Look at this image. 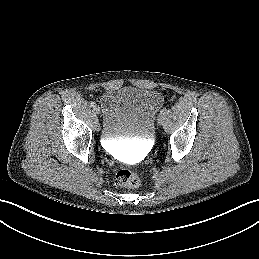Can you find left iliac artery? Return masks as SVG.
<instances>
[{"instance_id": "obj_1", "label": "left iliac artery", "mask_w": 259, "mask_h": 259, "mask_svg": "<svg viewBox=\"0 0 259 259\" xmlns=\"http://www.w3.org/2000/svg\"><path fill=\"white\" fill-rule=\"evenodd\" d=\"M166 113H168L167 108H163V109L160 111V115H165Z\"/></svg>"}]
</instances>
